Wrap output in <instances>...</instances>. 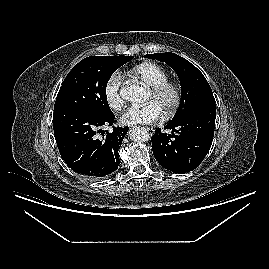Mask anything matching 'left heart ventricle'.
<instances>
[{
	"instance_id": "left-heart-ventricle-1",
	"label": "left heart ventricle",
	"mask_w": 269,
	"mask_h": 269,
	"mask_svg": "<svg viewBox=\"0 0 269 269\" xmlns=\"http://www.w3.org/2000/svg\"><path fill=\"white\" fill-rule=\"evenodd\" d=\"M172 99L173 94L170 91H167L160 97H154L150 92L147 98V102H154L163 113L171 104Z\"/></svg>"
}]
</instances>
